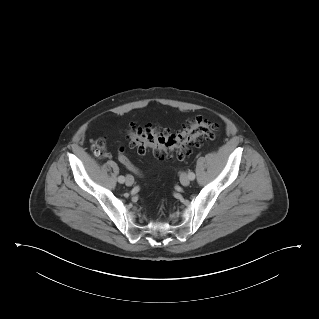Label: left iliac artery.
I'll return each mask as SVG.
<instances>
[{
    "label": "left iliac artery",
    "mask_w": 319,
    "mask_h": 319,
    "mask_svg": "<svg viewBox=\"0 0 319 319\" xmlns=\"http://www.w3.org/2000/svg\"><path fill=\"white\" fill-rule=\"evenodd\" d=\"M188 177L190 180H194L195 179V174L193 172H189Z\"/></svg>",
    "instance_id": "obj_1"
}]
</instances>
